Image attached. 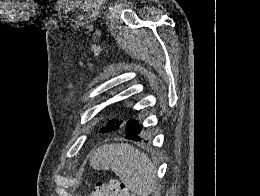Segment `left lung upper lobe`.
<instances>
[{"label":"left lung upper lobe","mask_w":260,"mask_h":196,"mask_svg":"<svg viewBox=\"0 0 260 196\" xmlns=\"http://www.w3.org/2000/svg\"><path fill=\"white\" fill-rule=\"evenodd\" d=\"M131 117V116H130ZM130 117H127L125 119H122L121 121H117V122H109L106 127L102 128L100 132H112V131H116L119 129H123L126 128L127 123L130 121ZM136 121V120H134Z\"/></svg>","instance_id":"1"}]
</instances>
